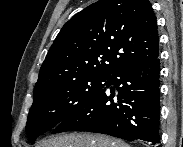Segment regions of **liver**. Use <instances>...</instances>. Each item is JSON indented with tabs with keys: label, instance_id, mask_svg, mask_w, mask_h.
Masks as SVG:
<instances>
[{
	"label": "liver",
	"instance_id": "1",
	"mask_svg": "<svg viewBox=\"0 0 183 147\" xmlns=\"http://www.w3.org/2000/svg\"><path fill=\"white\" fill-rule=\"evenodd\" d=\"M36 147H129L128 144L103 135L66 134L43 140Z\"/></svg>",
	"mask_w": 183,
	"mask_h": 147
}]
</instances>
